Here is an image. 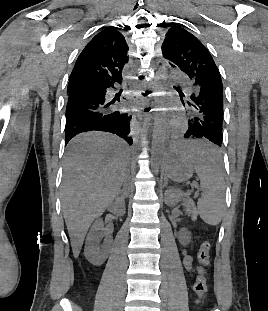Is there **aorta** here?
I'll return each instance as SVG.
<instances>
[{
	"mask_svg": "<svg viewBox=\"0 0 268 311\" xmlns=\"http://www.w3.org/2000/svg\"><path fill=\"white\" fill-rule=\"evenodd\" d=\"M154 111H155V129L153 133L151 154L152 168L154 171L158 169L159 163L164 154V148L167 141L166 131V88L165 83L169 77L168 69L165 65H154Z\"/></svg>",
	"mask_w": 268,
	"mask_h": 311,
	"instance_id": "obj_1",
	"label": "aorta"
}]
</instances>
